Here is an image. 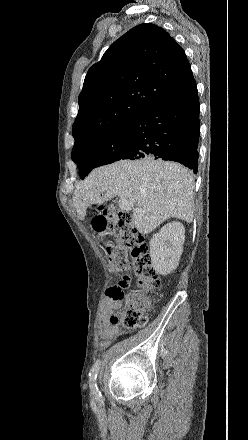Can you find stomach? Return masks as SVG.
Wrapping results in <instances>:
<instances>
[{
    "instance_id": "stomach-1",
    "label": "stomach",
    "mask_w": 248,
    "mask_h": 440,
    "mask_svg": "<svg viewBox=\"0 0 248 440\" xmlns=\"http://www.w3.org/2000/svg\"><path fill=\"white\" fill-rule=\"evenodd\" d=\"M90 226L92 232H101L102 235H105L108 231V224L106 218H91Z\"/></svg>"
}]
</instances>
